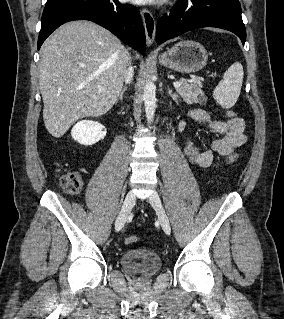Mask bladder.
Instances as JSON below:
<instances>
[{
  "label": "bladder",
  "mask_w": 284,
  "mask_h": 319,
  "mask_svg": "<svg viewBox=\"0 0 284 319\" xmlns=\"http://www.w3.org/2000/svg\"><path fill=\"white\" fill-rule=\"evenodd\" d=\"M123 270L136 280H146L157 274L162 267L160 256L149 249L138 248L124 252L120 256Z\"/></svg>",
  "instance_id": "31cf9c89"
}]
</instances>
